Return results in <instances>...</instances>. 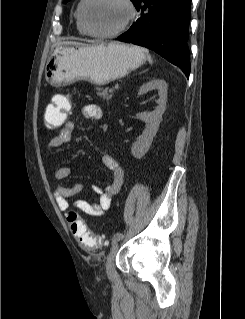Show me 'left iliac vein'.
Returning <instances> with one entry per match:
<instances>
[{"instance_id":"left-iliac-vein-1","label":"left iliac vein","mask_w":245,"mask_h":319,"mask_svg":"<svg viewBox=\"0 0 245 319\" xmlns=\"http://www.w3.org/2000/svg\"><path fill=\"white\" fill-rule=\"evenodd\" d=\"M119 241V240H118ZM118 241L113 242L112 247L110 249V253L107 257L106 261V272L108 277L111 279L113 277V261L119 250Z\"/></svg>"}]
</instances>
